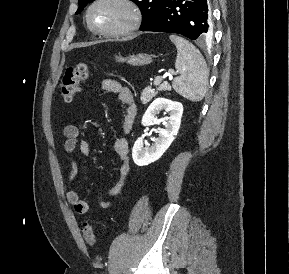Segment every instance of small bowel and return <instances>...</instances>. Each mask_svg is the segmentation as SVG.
<instances>
[{
  "label": "small bowel",
  "instance_id": "obj_1",
  "mask_svg": "<svg viewBox=\"0 0 289 274\" xmlns=\"http://www.w3.org/2000/svg\"><path fill=\"white\" fill-rule=\"evenodd\" d=\"M101 88L107 92L118 95L119 100L127 106L126 114L123 119V131L128 133L133 125L136 115L135 99L131 89L119 81L105 79L101 82ZM65 137L64 151L70 160L71 170L69 173V182L72 183L78 174V164L75 160V154L78 150L84 156H90L92 147L89 142L79 139V129L73 124L66 125L63 128ZM115 152L120 161V168L113 186L107 191V195L112 198L120 194L122 191L128 174H129V142L126 137H119L114 144ZM67 201L73 205L75 211L79 215H84L89 210V204L86 200L80 199L76 189L71 188L66 194ZM99 209L105 210L113 205L111 199H102L97 203Z\"/></svg>",
  "mask_w": 289,
  "mask_h": 274
}]
</instances>
